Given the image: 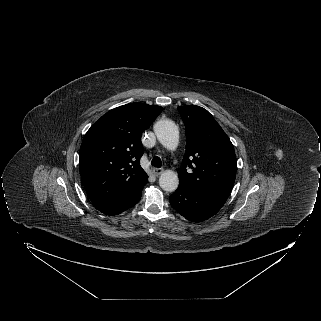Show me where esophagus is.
Returning a JSON list of instances; mask_svg holds the SVG:
<instances>
[{
  "label": "esophagus",
  "mask_w": 321,
  "mask_h": 321,
  "mask_svg": "<svg viewBox=\"0 0 321 321\" xmlns=\"http://www.w3.org/2000/svg\"><path fill=\"white\" fill-rule=\"evenodd\" d=\"M164 171L163 168H153L152 169V173L155 175V176H159L160 174H162Z\"/></svg>",
  "instance_id": "34e87169"
}]
</instances>
